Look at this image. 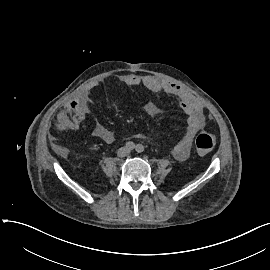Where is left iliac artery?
Returning a JSON list of instances; mask_svg holds the SVG:
<instances>
[{"label":"left iliac artery","instance_id":"44dca946","mask_svg":"<svg viewBox=\"0 0 270 270\" xmlns=\"http://www.w3.org/2000/svg\"><path fill=\"white\" fill-rule=\"evenodd\" d=\"M136 151H137L138 153L143 152V151H144V147H143V145L138 144V145L136 146Z\"/></svg>","mask_w":270,"mask_h":270}]
</instances>
